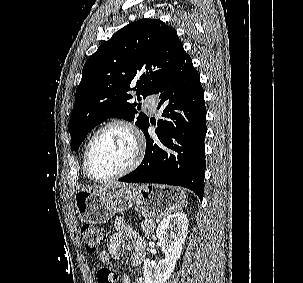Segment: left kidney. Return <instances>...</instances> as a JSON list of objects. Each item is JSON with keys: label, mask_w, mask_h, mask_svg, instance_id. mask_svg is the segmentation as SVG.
<instances>
[{"label": "left kidney", "mask_w": 303, "mask_h": 283, "mask_svg": "<svg viewBox=\"0 0 303 283\" xmlns=\"http://www.w3.org/2000/svg\"><path fill=\"white\" fill-rule=\"evenodd\" d=\"M188 219L176 213L163 219L156 230V237L165 258L158 264L146 259L143 265L145 283H165L171 276L187 237Z\"/></svg>", "instance_id": "obj_1"}]
</instances>
